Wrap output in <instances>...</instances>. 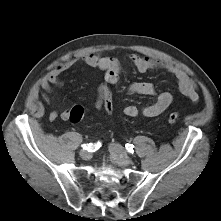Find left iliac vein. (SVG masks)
I'll use <instances>...</instances> for the list:
<instances>
[{
  "label": "left iliac vein",
  "instance_id": "left-iliac-vein-1",
  "mask_svg": "<svg viewBox=\"0 0 221 221\" xmlns=\"http://www.w3.org/2000/svg\"><path fill=\"white\" fill-rule=\"evenodd\" d=\"M109 152L112 158L115 160L116 164L124 167L132 164L133 160L126 155L123 147L119 144L112 143L109 145Z\"/></svg>",
  "mask_w": 221,
  "mask_h": 221
}]
</instances>
